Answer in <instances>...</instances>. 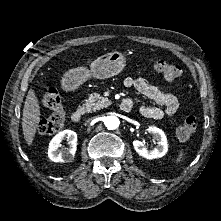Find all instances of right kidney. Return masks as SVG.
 Segmentation results:
<instances>
[{
    "mask_svg": "<svg viewBox=\"0 0 221 221\" xmlns=\"http://www.w3.org/2000/svg\"><path fill=\"white\" fill-rule=\"evenodd\" d=\"M67 139L69 148L59 149L61 142ZM77 147V134L72 130H63L56 134L49 143L48 157L54 162H71Z\"/></svg>",
    "mask_w": 221,
    "mask_h": 221,
    "instance_id": "obj_1",
    "label": "right kidney"
}]
</instances>
